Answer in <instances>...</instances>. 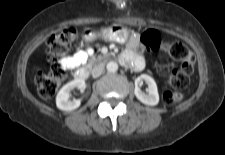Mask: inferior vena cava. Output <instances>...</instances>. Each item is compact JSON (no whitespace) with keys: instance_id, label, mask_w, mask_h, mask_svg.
I'll return each instance as SVG.
<instances>
[{"instance_id":"602c4592","label":"inferior vena cava","mask_w":225,"mask_h":155,"mask_svg":"<svg viewBox=\"0 0 225 155\" xmlns=\"http://www.w3.org/2000/svg\"><path fill=\"white\" fill-rule=\"evenodd\" d=\"M104 71V64H98L92 69V76L94 78L99 77Z\"/></svg>"}]
</instances>
